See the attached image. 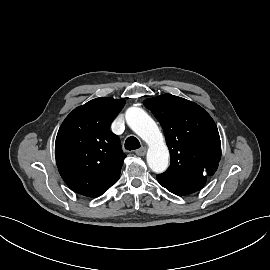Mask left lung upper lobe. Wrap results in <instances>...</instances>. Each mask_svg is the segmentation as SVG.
<instances>
[{"mask_svg": "<svg viewBox=\"0 0 270 270\" xmlns=\"http://www.w3.org/2000/svg\"><path fill=\"white\" fill-rule=\"evenodd\" d=\"M143 104L160 122L170 151V166L157 175L158 182L176 195L199 191L213 175L221 157L217 126L199 105L163 94Z\"/></svg>", "mask_w": 270, "mask_h": 270, "instance_id": "1", "label": "left lung upper lobe"}]
</instances>
